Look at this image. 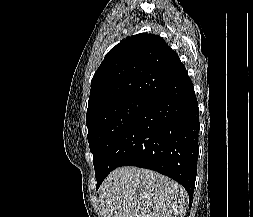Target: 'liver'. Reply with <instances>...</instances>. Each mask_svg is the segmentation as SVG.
<instances>
[{"label":"liver","instance_id":"obj_1","mask_svg":"<svg viewBox=\"0 0 253 217\" xmlns=\"http://www.w3.org/2000/svg\"><path fill=\"white\" fill-rule=\"evenodd\" d=\"M99 190L102 217H183L188 199L172 179L133 166L112 171Z\"/></svg>","mask_w":253,"mask_h":217}]
</instances>
